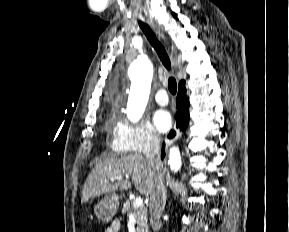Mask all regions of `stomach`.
<instances>
[{"instance_id": "stomach-1", "label": "stomach", "mask_w": 289, "mask_h": 232, "mask_svg": "<svg viewBox=\"0 0 289 232\" xmlns=\"http://www.w3.org/2000/svg\"><path fill=\"white\" fill-rule=\"evenodd\" d=\"M119 207V198L110 194L105 196L94 208L95 215L103 221H110Z\"/></svg>"}]
</instances>
